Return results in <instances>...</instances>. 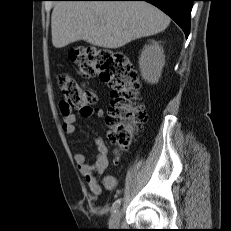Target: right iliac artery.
I'll list each match as a JSON object with an SVG mask.
<instances>
[{"instance_id": "right-iliac-artery-1", "label": "right iliac artery", "mask_w": 231, "mask_h": 231, "mask_svg": "<svg viewBox=\"0 0 231 231\" xmlns=\"http://www.w3.org/2000/svg\"><path fill=\"white\" fill-rule=\"evenodd\" d=\"M120 205H121V199H117V200L113 203V205H112V207H111V211H112V212H115V211L119 208Z\"/></svg>"}]
</instances>
